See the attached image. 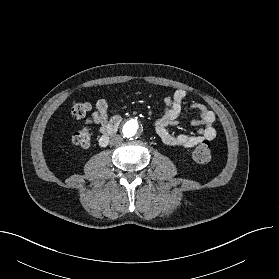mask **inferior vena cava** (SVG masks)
<instances>
[{"mask_svg":"<svg viewBox=\"0 0 279 279\" xmlns=\"http://www.w3.org/2000/svg\"><path fill=\"white\" fill-rule=\"evenodd\" d=\"M123 138L120 135H114L110 139V144L114 146H118L122 143Z\"/></svg>","mask_w":279,"mask_h":279,"instance_id":"obj_1","label":"inferior vena cava"}]
</instances>
